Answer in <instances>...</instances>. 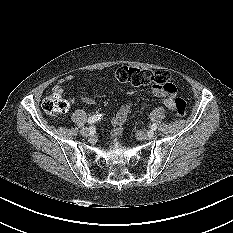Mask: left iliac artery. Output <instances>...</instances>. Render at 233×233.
I'll list each match as a JSON object with an SVG mask.
<instances>
[{
	"instance_id": "44dca946",
	"label": "left iliac artery",
	"mask_w": 233,
	"mask_h": 233,
	"mask_svg": "<svg viewBox=\"0 0 233 233\" xmlns=\"http://www.w3.org/2000/svg\"><path fill=\"white\" fill-rule=\"evenodd\" d=\"M151 129H152V130H156V129H157V125H156V124H152V125H151Z\"/></svg>"
}]
</instances>
